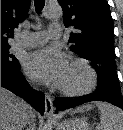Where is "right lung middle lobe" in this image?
Returning <instances> with one entry per match:
<instances>
[{
  "label": "right lung middle lobe",
  "mask_w": 123,
  "mask_h": 130,
  "mask_svg": "<svg viewBox=\"0 0 123 130\" xmlns=\"http://www.w3.org/2000/svg\"><path fill=\"white\" fill-rule=\"evenodd\" d=\"M10 46L1 44V64L8 65L13 68H19V61L9 53Z\"/></svg>",
  "instance_id": "obj_1"
}]
</instances>
